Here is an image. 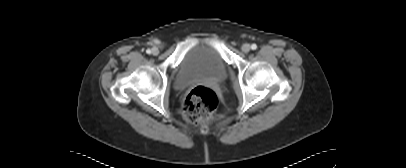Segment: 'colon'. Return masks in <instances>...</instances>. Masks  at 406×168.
Returning <instances> with one entry per match:
<instances>
[{
    "label": "colon",
    "mask_w": 406,
    "mask_h": 168,
    "mask_svg": "<svg viewBox=\"0 0 406 168\" xmlns=\"http://www.w3.org/2000/svg\"><path fill=\"white\" fill-rule=\"evenodd\" d=\"M218 98L214 90L199 85L189 91L183 102V116L190 123H202L215 117Z\"/></svg>",
    "instance_id": "colon-1"
}]
</instances>
